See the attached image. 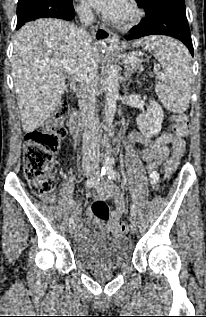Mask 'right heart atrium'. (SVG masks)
I'll return each mask as SVG.
<instances>
[{
  "mask_svg": "<svg viewBox=\"0 0 206 317\" xmlns=\"http://www.w3.org/2000/svg\"><path fill=\"white\" fill-rule=\"evenodd\" d=\"M77 10H78V12L81 13V14H87V13L89 12L88 7L85 6V5H78V6H77Z\"/></svg>",
  "mask_w": 206,
  "mask_h": 317,
  "instance_id": "d8ad5b80",
  "label": "right heart atrium"
}]
</instances>
